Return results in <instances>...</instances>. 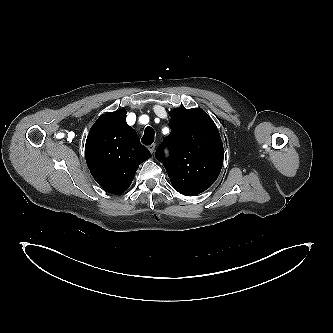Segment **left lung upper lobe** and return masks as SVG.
Returning <instances> with one entry per match:
<instances>
[{"mask_svg":"<svg viewBox=\"0 0 333 333\" xmlns=\"http://www.w3.org/2000/svg\"><path fill=\"white\" fill-rule=\"evenodd\" d=\"M171 133L164 138L171 152L164 159L162 147L156 158L164 167L173 187L181 194L193 196L208 189L218 178L224 149L213 120L201 109H174L170 113Z\"/></svg>","mask_w":333,"mask_h":333,"instance_id":"left-lung-upper-lobe-1","label":"left lung upper lobe"}]
</instances>
